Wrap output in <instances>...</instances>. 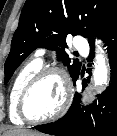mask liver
<instances>
[{"label": "liver", "mask_w": 117, "mask_h": 136, "mask_svg": "<svg viewBox=\"0 0 117 136\" xmlns=\"http://www.w3.org/2000/svg\"><path fill=\"white\" fill-rule=\"evenodd\" d=\"M5 136H41V134L26 129H13L5 133Z\"/></svg>", "instance_id": "1"}]
</instances>
